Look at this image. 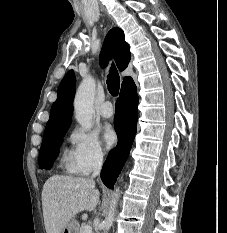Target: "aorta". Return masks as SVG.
<instances>
[{
    "instance_id": "762f6f07",
    "label": "aorta",
    "mask_w": 227,
    "mask_h": 233,
    "mask_svg": "<svg viewBox=\"0 0 227 233\" xmlns=\"http://www.w3.org/2000/svg\"><path fill=\"white\" fill-rule=\"evenodd\" d=\"M95 88L96 85L94 79L91 77L83 79L74 99L75 118L77 122L85 129H90L92 127V117L95 113ZM118 197L119 189H116L110 202L108 215L102 222L104 233H108L113 224Z\"/></svg>"
}]
</instances>
